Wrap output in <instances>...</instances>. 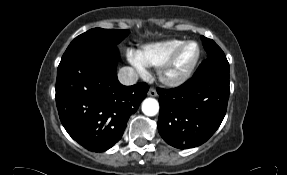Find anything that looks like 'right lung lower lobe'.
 Masks as SVG:
<instances>
[{"label": "right lung lower lobe", "mask_w": 287, "mask_h": 175, "mask_svg": "<svg viewBox=\"0 0 287 175\" xmlns=\"http://www.w3.org/2000/svg\"><path fill=\"white\" fill-rule=\"evenodd\" d=\"M118 58L105 51L86 53L60 63L56 105L68 134L90 151L103 152L122 137L131 114L149 86H123L117 79Z\"/></svg>", "instance_id": "1"}]
</instances>
